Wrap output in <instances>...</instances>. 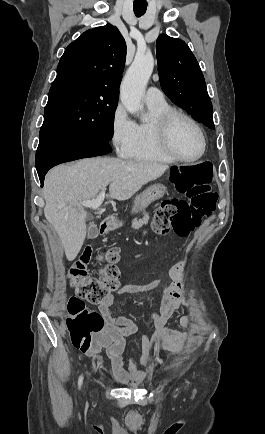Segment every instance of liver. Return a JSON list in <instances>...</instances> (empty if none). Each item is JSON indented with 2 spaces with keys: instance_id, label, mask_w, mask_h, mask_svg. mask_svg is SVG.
Segmentation results:
<instances>
[{
  "instance_id": "obj_1",
  "label": "liver",
  "mask_w": 265,
  "mask_h": 434,
  "mask_svg": "<svg viewBox=\"0 0 265 434\" xmlns=\"http://www.w3.org/2000/svg\"><path fill=\"white\" fill-rule=\"evenodd\" d=\"M168 168L160 162L144 164L119 158H86L73 166L62 164L52 168L45 176L44 216L54 226L67 260H75L86 238L87 214L80 202L95 200L108 184L110 198L129 200Z\"/></svg>"
}]
</instances>
